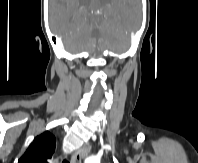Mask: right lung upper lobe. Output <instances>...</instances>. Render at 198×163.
Wrapping results in <instances>:
<instances>
[{"mask_svg": "<svg viewBox=\"0 0 198 163\" xmlns=\"http://www.w3.org/2000/svg\"><path fill=\"white\" fill-rule=\"evenodd\" d=\"M56 138L49 131L35 137L18 163H48L55 152Z\"/></svg>", "mask_w": 198, "mask_h": 163, "instance_id": "right-lung-upper-lobe-1", "label": "right lung upper lobe"}]
</instances>
